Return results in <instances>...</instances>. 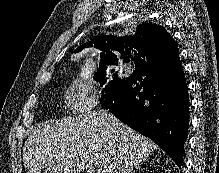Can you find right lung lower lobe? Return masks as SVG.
<instances>
[{"instance_id": "98d812e1", "label": "right lung lower lobe", "mask_w": 219, "mask_h": 173, "mask_svg": "<svg viewBox=\"0 0 219 173\" xmlns=\"http://www.w3.org/2000/svg\"><path fill=\"white\" fill-rule=\"evenodd\" d=\"M104 109L155 141L178 167L182 166L190 113L180 58L171 66L152 59L139 65Z\"/></svg>"}]
</instances>
